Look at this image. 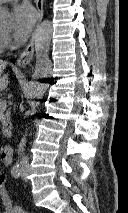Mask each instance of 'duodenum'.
<instances>
[{"label":"duodenum","mask_w":128,"mask_h":213,"mask_svg":"<svg viewBox=\"0 0 128 213\" xmlns=\"http://www.w3.org/2000/svg\"><path fill=\"white\" fill-rule=\"evenodd\" d=\"M13 157V148L11 146H2L0 148V159L4 164H10Z\"/></svg>","instance_id":"duodenum-1"}]
</instances>
